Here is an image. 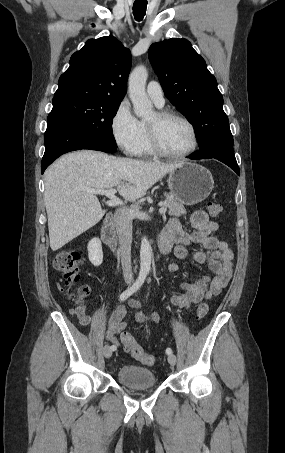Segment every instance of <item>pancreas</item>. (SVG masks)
Wrapping results in <instances>:
<instances>
[{
  "label": "pancreas",
  "instance_id": "1",
  "mask_svg": "<svg viewBox=\"0 0 285 453\" xmlns=\"http://www.w3.org/2000/svg\"><path fill=\"white\" fill-rule=\"evenodd\" d=\"M164 195H165L164 205L169 208L168 212L169 215L177 217L186 215L187 212L183 204L176 201L171 194L165 193Z\"/></svg>",
  "mask_w": 285,
  "mask_h": 453
}]
</instances>
